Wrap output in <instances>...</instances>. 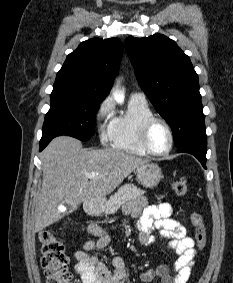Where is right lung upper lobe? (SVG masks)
I'll use <instances>...</instances> for the list:
<instances>
[{
    "instance_id": "cb5924a9",
    "label": "right lung upper lobe",
    "mask_w": 233,
    "mask_h": 283,
    "mask_svg": "<svg viewBox=\"0 0 233 283\" xmlns=\"http://www.w3.org/2000/svg\"><path fill=\"white\" fill-rule=\"evenodd\" d=\"M123 53L118 38H93L70 53L56 76L53 89H66L102 101L112 87Z\"/></svg>"
}]
</instances>
